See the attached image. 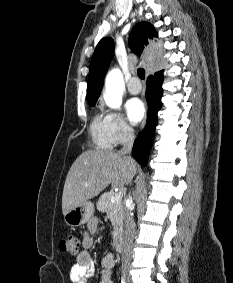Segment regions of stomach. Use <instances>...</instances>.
<instances>
[{"label": "stomach", "instance_id": "obj_1", "mask_svg": "<svg viewBox=\"0 0 233 283\" xmlns=\"http://www.w3.org/2000/svg\"><path fill=\"white\" fill-rule=\"evenodd\" d=\"M94 204L86 201L83 204L74 207L64 215V220L67 225L78 227L90 220L94 214Z\"/></svg>", "mask_w": 233, "mask_h": 283}]
</instances>
